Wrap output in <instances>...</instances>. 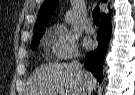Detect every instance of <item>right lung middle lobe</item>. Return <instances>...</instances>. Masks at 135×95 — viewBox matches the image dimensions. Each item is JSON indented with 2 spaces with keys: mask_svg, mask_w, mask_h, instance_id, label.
<instances>
[{
  "mask_svg": "<svg viewBox=\"0 0 135 95\" xmlns=\"http://www.w3.org/2000/svg\"><path fill=\"white\" fill-rule=\"evenodd\" d=\"M43 34H44V31L34 33L32 49H35L38 46L39 41H40L41 37L43 36Z\"/></svg>",
  "mask_w": 135,
  "mask_h": 95,
  "instance_id": "right-lung-middle-lobe-1",
  "label": "right lung middle lobe"
}]
</instances>
